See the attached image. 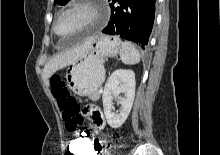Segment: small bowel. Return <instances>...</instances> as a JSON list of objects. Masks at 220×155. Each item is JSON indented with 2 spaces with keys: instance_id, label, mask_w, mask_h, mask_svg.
I'll return each mask as SVG.
<instances>
[{
  "instance_id": "c3829d8e",
  "label": "small bowel",
  "mask_w": 220,
  "mask_h": 155,
  "mask_svg": "<svg viewBox=\"0 0 220 155\" xmlns=\"http://www.w3.org/2000/svg\"><path fill=\"white\" fill-rule=\"evenodd\" d=\"M83 113H86L85 116L89 118L95 128V133L98 134L99 130L102 129L105 124L103 114L99 110L98 105H84ZM94 141L95 139H92L93 145ZM94 153H96V151L94 147H91V155Z\"/></svg>"
}]
</instances>
